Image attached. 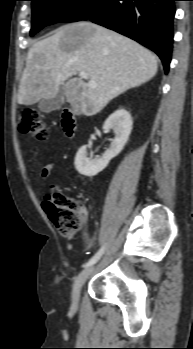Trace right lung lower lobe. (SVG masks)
<instances>
[{
  "label": "right lung lower lobe",
  "instance_id": "obj_1",
  "mask_svg": "<svg viewBox=\"0 0 193 349\" xmlns=\"http://www.w3.org/2000/svg\"><path fill=\"white\" fill-rule=\"evenodd\" d=\"M176 0H101L82 20L119 32L153 50L165 73L171 60Z\"/></svg>",
  "mask_w": 193,
  "mask_h": 349
}]
</instances>
